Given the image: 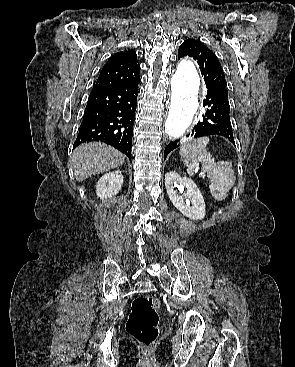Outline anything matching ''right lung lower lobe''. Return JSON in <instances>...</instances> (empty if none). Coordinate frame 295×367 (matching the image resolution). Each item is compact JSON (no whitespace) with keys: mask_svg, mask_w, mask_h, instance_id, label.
I'll use <instances>...</instances> for the list:
<instances>
[{"mask_svg":"<svg viewBox=\"0 0 295 367\" xmlns=\"http://www.w3.org/2000/svg\"><path fill=\"white\" fill-rule=\"evenodd\" d=\"M138 84L117 87L95 85L73 148L88 141H102L131 160Z\"/></svg>","mask_w":295,"mask_h":367,"instance_id":"right-lung-lower-lobe-1","label":"right lung lower lobe"}]
</instances>
